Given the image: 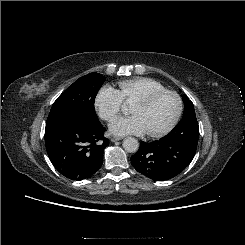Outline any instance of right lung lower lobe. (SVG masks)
Wrapping results in <instances>:
<instances>
[{"instance_id": "1", "label": "right lung lower lobe", "mask_w": 245, "mask_h": 245, "mask_svg": "<svg viewBox=\"0 0 245 245\" xmlns=\"http://www.w3.org/2000/svg\"><path fill=\"white\" fill-rule=\"evenodd\" d=\"M102 124L91 125L73 119L46 123L45 144L54 167L65 177L83 180L95 174L103 163L109 140Z\"/></svg>"}]
</instances>
